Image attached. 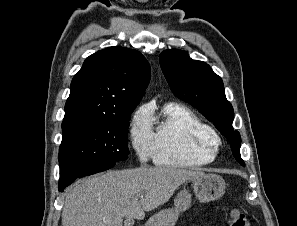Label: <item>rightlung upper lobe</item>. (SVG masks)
Wrapping results in <instances>:
<instances>
[{
    "instance_id": "obj_1",
    "label": "right lung upper lobe",
    "mask_w": 297,
    "mask_h": 226,
    "mask_svg": "<svg viewBox=\"0 0 297 226\" xmlns=\"http://www.w3.org/2000/svg\"><path fill=\"white\" fill-rule=\"evenodd\" d=\"M150 80V66L138 51L109 47L89 56L74 76L63 121L117 119L137 105Z\"/></svg>"
}]
</instances>
